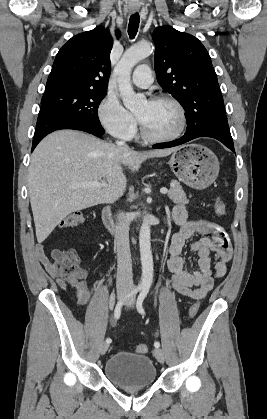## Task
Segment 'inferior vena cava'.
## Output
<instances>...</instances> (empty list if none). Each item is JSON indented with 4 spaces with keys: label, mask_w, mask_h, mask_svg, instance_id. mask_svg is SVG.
Instances as JSON below:
<instances>
[{
    "label": "inferior vena cava",
    "mask_w": 267,
    "mask_h": 419,
    "mask_svg": "<svg viewBox=\"0 0 267 419\" xmlns=\"http://www.w3.org/2000/svg\"><path fill=\"white\" fill-rule=\"evenodd\" d=\"M117 146L128 148L125 142L117 141ZM115 237L117 245V281L118 290L129 291L133 287L132 260L129 246V221L124 213H119L116 220Z\"/></svg>",
    "instance_id": "602c4592"
}]
</instances>
